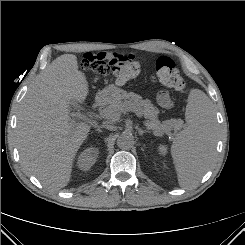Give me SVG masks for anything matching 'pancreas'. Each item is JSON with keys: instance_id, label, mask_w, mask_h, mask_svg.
I'll return each mask as SVG.
<instances>
[{"instance_id": "cf45deb5", "label": "pancreas", "mask_w": 245, "mask_h": 245, "mask_svg": "<svg viewBox=\"0 0 245 245\" xmlns=\"http://www.w3.org/2000/svg\"><path fill=\"white\" fill-rule=\"evenodd\" d=\"M131 107L137 108L141 115L147 119L146 125L156 136H162L164 133L169 134L172 129L177 131L182 127L181 120L169 119L160 122L158 120L159 111L154 107L151 101L148 99L144 100L140 95L133 92H123L119 94L111 104L103 110V117L111 123L116 122L120 119L121 114L127 112Z\"/></svg>"}]
</instances>
